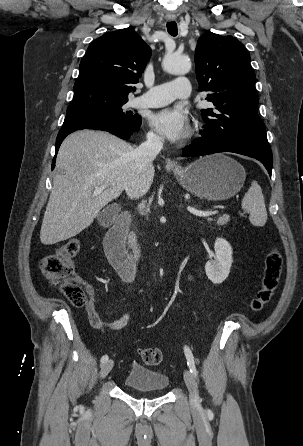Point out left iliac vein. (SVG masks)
Returning <instances> with one entry per match:
<instances>
[{
    "instance_id": "4c4485c4",
    "label": "left iliac vein",
    "mask_w": 303,
    "mask_h": 446,
    "mask_svg": "<svg viewBox=\"0 0 303 446\" xmlns=\"http://www.w3.org/2000/svg\"><path fill=\"white\" fill-rule=\"evenodd\" d=\"M184 381L189 391V399L191 407L194 411H198L200 406L198 387L192 373L187 369L184 371Z\"/></svg>"
}]
</instances>
